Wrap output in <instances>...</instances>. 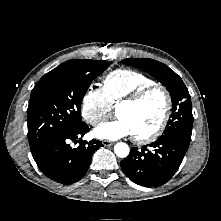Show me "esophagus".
I'll return each instance as SVG.
<instances>
[{"label": "esophagus", "mask_w": 221, "mask_h": 221, "mask_svg": "<svg viewBox=\"0 0 221 221\" xmlns=\"http://www.w3.org/2000/svg\"><path fill=\"white\" fill-rule=\"evenodd\" d=\"M102 144H103L104 146H112V145L114 144V142L109 141V140H103V141H102Z\"/></svg>", "instance_id": "esophagus-1"}]
</instances>
